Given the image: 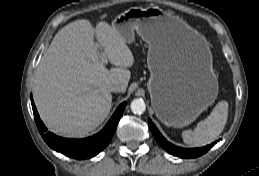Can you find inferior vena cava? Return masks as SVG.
I'll list each match as a JSON object with an SVG mask.
<instances>
[{"label": "inferior vena cava", "mask_w": 259, "mask_h": 176, "mask_svg": "<svg viewBox=\"0 0 259 176\" xmlns=\"http://www.w3.org/2000/svg\"><path fill=\"white\" fill-rule=\"evenodd\" d=\"M109 90L111 92H120L121 91L120 86L117 83L110 84L109 85Z\"/></svg>", "instance_id": "inferior-vena-cava-1"}]
</instances>
